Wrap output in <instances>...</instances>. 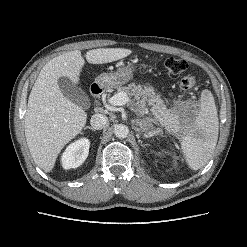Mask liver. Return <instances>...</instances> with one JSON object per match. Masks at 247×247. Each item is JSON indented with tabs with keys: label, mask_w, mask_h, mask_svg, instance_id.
Listing matches in <instances>:
<instances>
[{
	"label": "liver",
	"mask_w": 247,
	"mask_h": 247,
	"mask_svg": "<svg viewBox=\"0 0 247 247\" xmlns=\"http://www.w3.org/2000/svg\"><path fill=\"white\" fill-rule=\"evenodd\" d=\"M132 53L124 48L89 50L86 60L105 64L120 60ZM85 61L80 50L63 53L41 69L31 90L25 115V137L35 163L50 172L63 147L77 136L87 121V113L66 98L58 79L66 76L78 84Z\"/></svg>",
	"instance_id": "6515ba94"
}]
</instances>
